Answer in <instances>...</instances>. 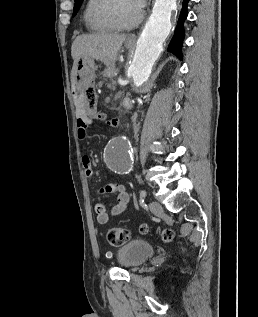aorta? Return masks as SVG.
Here are the masks:
<instances>
[{
  "label": "aorta",
  "mask_w": 258,
  "mask_h": 317,
  "mask_svg": "<svg viewBox=\"0 0 258 317\" xmlns=\"http://www.w3.org/2000/svg\"><path fill=\"white\" fill-rule=\"evenodd\" d=\"M177 0H156L152 14L140 35L136 51L129 68L133 85L140 87L151 74L155 61L163 50V43L170 33L171 14ZM104 160L109 169L126 174L133 165L129 139L120 135L112 138L106 146Z\"/></svg>",
  "instance_id": "762f6f07"
}]
</instances>
